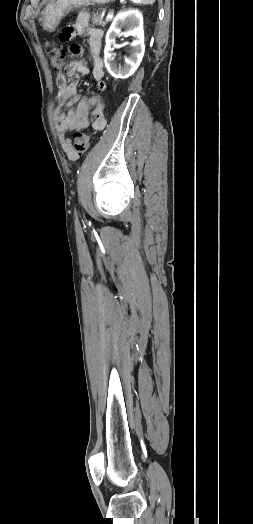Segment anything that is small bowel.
I'll return each mask as SVG.
<instances>
[{
    "mask_svg": "<svg viewBox=\"0 0 253 524\" xmlns=\"http://www.w3.org/2000/svg\"><path fill=\"white\" fill-rule=\"evenodd\" d=\"M76 34L88 38L91 56V66L88 67L83 61H73L62 68L58 74L57 84L59 88L57 108L54 117L57 125V134L62 149L70 157L71 141L68 133L74 130H85L89 126L95 131H101L105 127V119L102 116L103 102L100 96H81L77 92V83L80 76H91L98 82L101 95H108V81L104 79V64L101 56L102 30L91 27L87 15H80L73 24H64L59 32L63 44L68 46L66 54L79 57L84 55V49L76 46Z\"/></svg>",
    "mask_w": 253,
    "mask_h": 524,
    "instance_id": "1",
    "label": "small bowel"
}]
</instances>
